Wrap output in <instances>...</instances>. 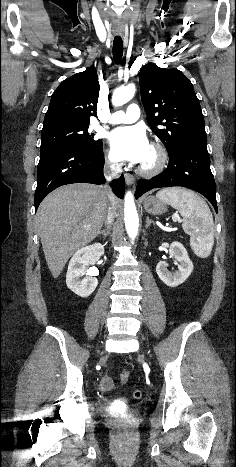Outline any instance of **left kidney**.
<instances>
[{
	"label": "left kidney",
	"instance_id": "obj_1",
	"mask_svg": "<svg viewBox=\"0 0 236 467\" xmlns=\"http://www.w3.org/2000/svg\"><path fill=\"white\" fill-rule=\"evenodd\" d=\"M169 252L179 263L178 270L174 273H170L167 270V263L160 261L156 266V272L167 286L177 287L190 276L193 271V263L188 256L187 250L180 242H172Z\"/></svg>",
	"mask_w": 236,
	"mask_h": 467
}]
</instances>
